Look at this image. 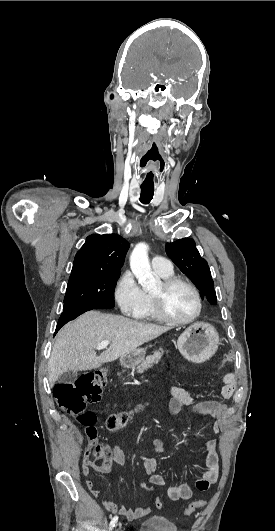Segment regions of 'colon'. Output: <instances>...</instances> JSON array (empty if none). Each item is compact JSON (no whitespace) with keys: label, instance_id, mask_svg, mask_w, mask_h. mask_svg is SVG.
<instances>
[{"label":"colon","instance_id":"1","mask_svg":"<svg viewBox=\"0 0 275 531\" xmlns=\"http://www.w3.org/2000/svg\"><path fill=\"white\" fill-rule=\"evenodd\" d=\"M222 364L231 363L234 360L235 353L232 350H226L223 353ZM107 383V370L99 369L95 371H86L78 379L74 381H60L53 387V397L57 404L68 414L74 415L79 424L84 428L85 434L88 438V446L86 450L87 462L85 461L86 469H97L104 472L107 467L105 455L108 450V445L98 438V430L94 426V417L96 414L87 409L89 403L99 401L101 397L102 388ZM130 420V415L127 412L109 415L103 425L104 428L110 432H114L120 428L127 426ZM89 486L92 482L88 481ZM142 488L146 491H151L153 486L144 483ZM206 500L198 499L189 504L187 513H192L205 506ZM162 503L160 501L154 506L156 511L161 509Z\"/></svg>","mask_w":275,"mask_h":531}]
</instances>
